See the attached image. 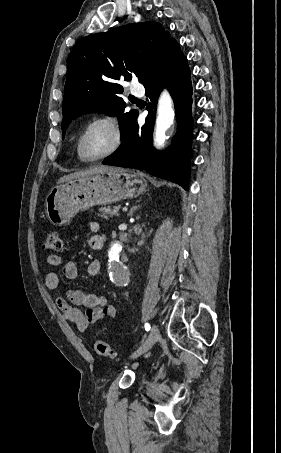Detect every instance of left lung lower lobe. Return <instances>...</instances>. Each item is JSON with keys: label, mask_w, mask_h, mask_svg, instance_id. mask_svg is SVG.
Segmentation results:
<instances>
[{"label": "left lung lower lobe", "mask_w": 281, "mask_h": 453, "mask_svg": "<svg viewBox=\"0 0 281 453\" xmlns=\"http://www.w3.org/2000/svg\"><path fill=\"white\" fill-rule=\"evenodd\" d=\"M143 85L151 101L146 107L149 114L145 125L139 127L138 123L134 122L118 150L102 163L145 170L187 189L192 140V84L187 58L174 38ZM163 87H168L173 97L178 130L172 146L161 153L152 146V134L157 99Z\"/></svg>", "instance_id": "left-lung-lower-lobe-1"}]
</instances>
